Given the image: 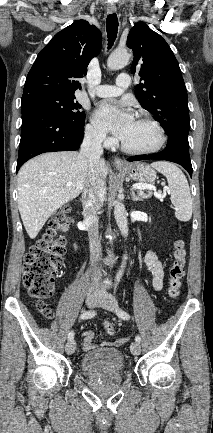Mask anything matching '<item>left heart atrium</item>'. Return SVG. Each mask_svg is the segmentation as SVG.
<instances>
[{
	"instance_id": "left-heart-atrium-1",
	"label": "left heart atrium",
	"mask_w": 213,
	"mask_h": 433,
	"mask_svg": "<svg viewBox=\"0 0 213 433\" xmlns=\"http://www.w3.org/2000/svg\"><path fill=\"white\" fill-rule=\"evenodd\" d=\"M94 121L122 140L134 124L135 119L126 104L104 102L96 111Z\"/></svg>"
}]
</instances>
